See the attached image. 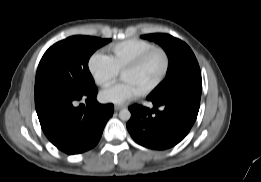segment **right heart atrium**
<instances>
[{
	"mask_svg": "<svg viewBox=\"0 0 261 182\" xmlns=\"http://www.w3.org/2000/svg\"><path fill=\"white\" fill-rule=\"evenodd\" d=\"M88 70L94 82L103 88L114 83L119 75L111 59L102 51H96L90 56Z\"/></svg>",
	"mask_w": 261,
	"mask_h": 182,
	"instance_id": "d8ad5b80",
	"label": "right heart atrium"
}]
</instances>
